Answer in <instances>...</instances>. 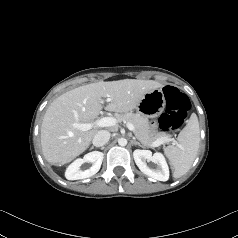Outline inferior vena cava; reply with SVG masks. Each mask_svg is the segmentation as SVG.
Masks as SVG:
<instances>
[{
  "label": "inferior vena cava",
  "mask_w": 238,
  "mask_h": 238,
  "mask_svg": "<svg viewBox=\"0 0 238 238\" xmlns=\"http://www.w3.org/2000/svg\"><path fill=\"white\" fill-rule=\"evenodd\" d=\"M110 139V133L106 130L98 131L93 138V145L96 147H101L105 145Z\"/></svg>",
  "instance_id": "inferior-vena-cava-1"
}]
</instances>
